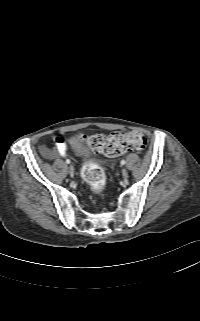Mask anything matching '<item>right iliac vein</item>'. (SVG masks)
Wrapping results in <instances>:
<instances>
[{"label":"right iliac vein","mask_w":200,"mask_h":321,"mask_svg":"<svg viewBox=\"0 0 200 321\" xmlns=\"http://www.w3.org/2000/svg\"><path fill=\"white\" fill-rule=\"evenodd\" d=\"M68 172H69V174H70L71 176L74 175V167H73L72 165H70V166L68 167Z\"/></svg>","instance_id":"right-iliac-vein-1"}]
</instances>
